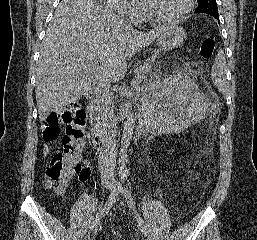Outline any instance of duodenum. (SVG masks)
Returning <instances> with one entry per match:
<instances>
[{"label": "duodenum", "instance_id": "410a0bca", "mask_svg": "<svg viewBox=\"0 0 257 240\" xmlns=\"http://www.w3.org/2000/svg\"><path fill=\"white\" fill-rule=\"evenodd\" d=\"M94 96L95 91L93 88H89L85 92L87 100L93 99ZM123 116L122 113H119L101 127L92 129V141L97 149H105L113 145L118 134L119 122L123 119Z\"/></svg>", "mask_w": 257, "mask_h": 240}]
</instances>
